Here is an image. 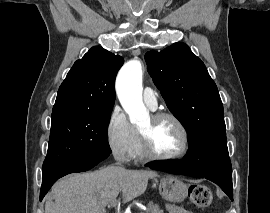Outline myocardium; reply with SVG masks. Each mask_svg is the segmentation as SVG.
I'll return each instance as SVG.
<instances>
[{"label": "myocardium", "instance_id": "f54148a6", "mask_svg": "<svg viewBox=\"0 0 270 213\" xmlns=\"http://www.w3.org/2000/svg\"><path fill=\"white\" fill-rule=\"evenodd\" d=\"M151 118L153 122H158L166 118L171 119L177 125V127L182 133L183 145L181 149L174 154L160 155L154 152V150L152 149L148 132L140 129L139 138H140L141 150L144 155V158L149 159V160H160V161H172V160H178V159L183 158L189 151L190 137H189V132L185 124L182 122V120L175 114L168 111L155 112L151 115Z\"/></svg>", "mask_w": 270, "mask_h": 213}]
</instances>
